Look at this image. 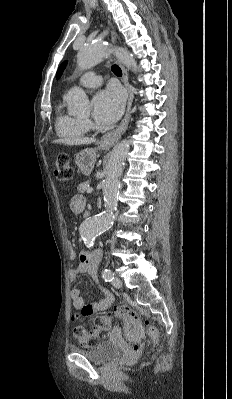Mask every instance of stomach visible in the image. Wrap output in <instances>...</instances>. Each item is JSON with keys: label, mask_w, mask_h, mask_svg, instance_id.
Masks as SVG:
<instances>
[{"label": "stomach", "mask_w": 232, "mask_h": 399, "mask_svg": "<svg viewBox=\"0 0 232 399\" xmlns=\"http://www.w3.org/2000/svg\"><path fill=\"white\" fill-rule=\"evenodd\" d=\"M101 150H104V148H101ZM96 158L97 150H95V148H86V150H82V152L76 154L75 164L84 176H89L94 168Z\"/></svg>", "instance_id": "0dacf381"}]
</instances>
